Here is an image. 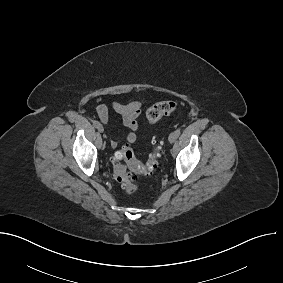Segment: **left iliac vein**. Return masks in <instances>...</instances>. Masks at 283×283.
I'll return each instance as SVG.
<instances>
[{"label":"left iliac vein","mask_w":283,"mask_h":283,"mask_svg":"<svg viewBox=\"0 0 283 283\" xmlns=\"http://www.w3.org/2000/svg\"><path fill=\"white\" fill-rule=\"evenodd\" d=\"M177 137H176V134L175 132H172L169 137H168V140L170 143H174L176 141Z\"/></svg>","instance_id":"1"}]
</instances>
